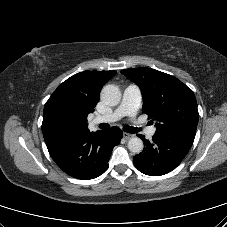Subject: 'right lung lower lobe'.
Wrapping results in <instances>:
<instances>
[{
	"instance_id": "obj_1",
	"label": "right lung lower lobe",
	"mask_w": 227,
	"mask_h": 227,
	"mask_svg": "<svg viewBox=\"0 0 227 227\" xmlns=\"http://www.w3.org/2000/svg\"><path fill=\"white\" fill-rule=\"evenodd\" d=\"M122 135L117 127L92 133L88 130L54 138L46 145L52 159L65 173L88 180L106 171L112 150Z\"/></svg>"
}]
</instances>
